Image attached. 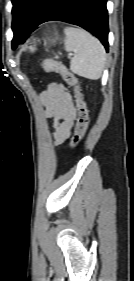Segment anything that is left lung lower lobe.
I'll return each mask as SVG.
<instances>
[{
    "label": "left lung lower lobe",
    "instance_id": "0a47b994",
    "mask_svg": "<svg viewBox=\"0 0 134 281\" xmlns=\"http://www.w3.org/2000/svg\"><path fill=\"white\" fill-rule=\"evenodd\" d=\"M107 0H43L27 28L14 31L13 49L40 24L59 20L78 25L93 33L108 51Z\"/></svg>",
    "mask_w": 134,
    "mask_h": 281
}]
</instances>
